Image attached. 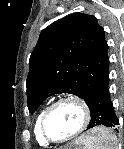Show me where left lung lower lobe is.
<instances>
[{
	"label": "left lung lower lobe",
	"instance_id": "1",
	"mask_svg": "<svg viewBox=\"0 0 124 149\" xmlns=\"http://www.w3.org/2000/svg\"><path fill=\"white\" fill-rule=\"evenodd\" d=\"M108 83L109 77L86 96L85 102L91 114L88 129L98 125H104L106 127L119 125V120L115 115L114 107L111 102Z\"/></svg>",
	"mask_w": 124,
	"mask_h": 149
}]
</instances>
